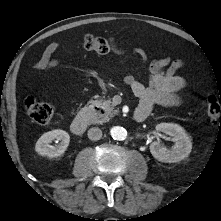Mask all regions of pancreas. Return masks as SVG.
I'll return each instance as SVG.
<instances>
[{"label":"pancreas","instance_id":"obj_1","mask_svg":"<svg viewBox=\"0 0 221 221\" xmlns=\"http://www.w3.org/2000/svg\"><path fill=\"white\" fill-rule=\"evenodd\" d=\"M92 106L101 107L104 110V114H92L89 118V122L93 124H99L108 119V116L113 117L117 114V110H115L114 105L112 104L111 100H91L89 102Z\"/></svg>","mask_w":221,"mask_h":221}]
</instances>
